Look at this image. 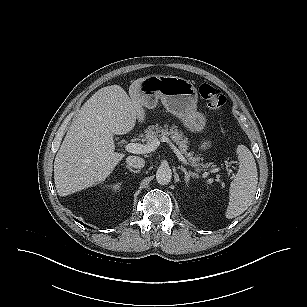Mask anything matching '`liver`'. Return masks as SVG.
<instances>
[{"instance_id":"6515ba94","label":"liver","mask_w":307,"mask_h":307,"mask_svg":"<svg viewBox=\"0 0 307 307\" xmlns=\"http://www.w3.org/2000/svg\"><path fill=\"white\" fill-rule=\"evenodd\" d=\"M135 80L129 95L118 85L99 89L81 107L54 161V181L60 196H68L104 181L124 158L114 152L113 136L130 132L145 111L140 84Z\"/></svg>"}]
</instances>
